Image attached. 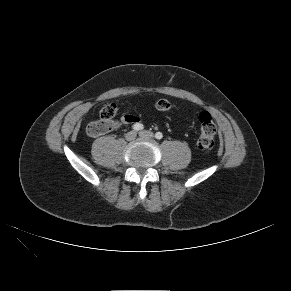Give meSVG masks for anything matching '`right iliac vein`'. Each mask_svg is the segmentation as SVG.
<instances>
[{
	"instance_id": "1",
	"label": "right iliac vein",
	"mask_w": 291,
	"mask_h": 291,
	"mask_svg": "<svg viewBox=\"0 0 291 291\" xmlns=\"http://www.w3.org/2000/svg\"><path fill=\"white\" fill-rule=\"evenodd\" d=\"M125 138L127 141H132L136 138V132L135 131H130L125 135Z\"/></svg>"
}]
</instances>
